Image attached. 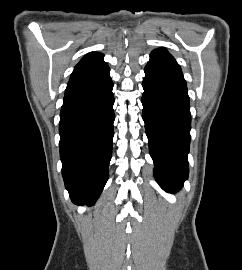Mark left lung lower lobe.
Masks as SVG:
<instances>
[{"label":"left lung lower lobe","instance_id":"obj_1","mask_svg":"<svg viewBox=\"0 0 242 270\" xmlns=\"http://www.w3.org/2000/svg\"><path fill=\"white\" fill-rule=\"evenodd\" d=\"M142 96L146 134L158 184L173 192L188 178L191 114L186 81L173 57L150 56Z\"/></svg>","mask_w":242,"mask_h":270}]
</instances>
